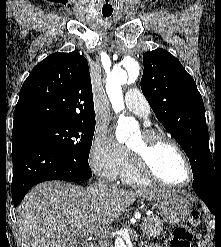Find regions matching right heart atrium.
I'll return each instance as SVG.
<instances>
[{"instance_id": "obj_1", "label": "right heart atrium", "mask_w": 221, "mask_h": 247, "mask_svg": "<svg viewBox=\"0 0 221 247\" xmlns=\"http://www.w3.org/2000/svg\"><path fill=\"white\" fill-rule=\"evenodd\" d=\"M126 148L104 131H97L89 149L92 171L108 180H116L121 173Z\"/></svg>"}]
</instances>
